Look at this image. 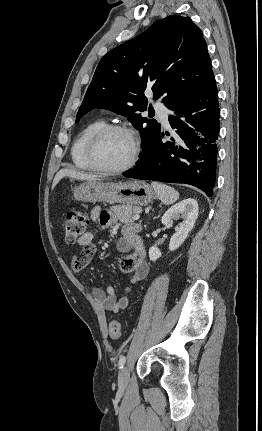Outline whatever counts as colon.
<instances>
[{
    "instance_id": "1",
    "label": "colon",
    "mask_w": 262,
    "mask_h": 431,
    "mask_svg": "<svg viewBox=\"0 0 262 431\" xmlns=\"http://www.w3.org/2000/svg\"><path fill=\"white\" fill-rule=\"evenodd\" d=\"M89 224V218L81 212H69L64 223V239L68 244H74L85 232ZM108 334L111 339L117 340L121 336V324L113 320L108 324Z\"/></svg>"
}]
</instances>
